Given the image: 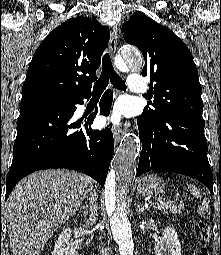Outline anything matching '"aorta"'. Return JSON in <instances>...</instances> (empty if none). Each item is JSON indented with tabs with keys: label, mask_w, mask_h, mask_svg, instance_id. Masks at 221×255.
<instances>
[{
	"label": "aorta",
	"mask_w": 221,
	"mask_h": 255,
	"mask_svg": "<svg viewBox=\"0 0 221 255\" xmlns=\"http://www.w3.org/2000/svg\"><path fill=\"white\" fill-rule=\"evenodd\" d=\"M119 67L129 66L141 69L143 58L138 50L126 47L118 58ZM140 143L133 137L125 140L118 149L114 168L109 172L105 183V205L115 242L119 246L120 255H133L134 242L131 224L127 216V195L134 180L137 159L140 155Z\"/></svg>",
	"instance_id": "762f6f07"
}]
</instances>
